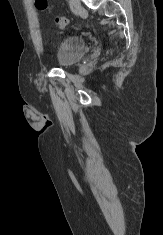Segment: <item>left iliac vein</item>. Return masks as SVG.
Returning a JSON list of instances; mask_svg holds the SVG:
<instances>
[{
  "mask_svg": "<svg viewBox=\"0 0 163 235\" xmlns=\"http://www.w3.org/2000/svg\"><path fill=\"white\" fill-rule=\"evenodd\" d=\"M71 4L75 7V8H80L81 7V2L80 0H70Z\"/></svg>",
  "mask_w": 163,
  "mask_h": 235,
  "instance_id": "4c4485c4",
  "label": "left iliac vein"
}]
</instances>
